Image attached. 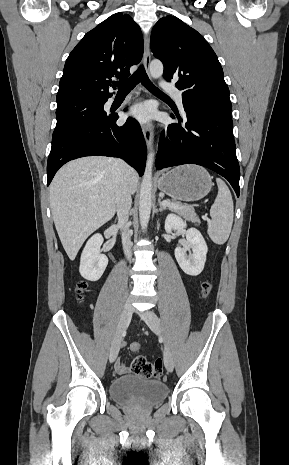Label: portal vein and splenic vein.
Masks as SVG:
<instances>
[{
	"label": "portal vein and splenic vein",
	"mask_w": 289,
	"mask_h": 465,
	"mask_svg": "<svg viewBox=\"0 0 289 465\" xmlns=\"http://www.w3.org/2000/svg\"><path fill=\"white\" fill-rule=\"evenodd\" d=\"M162 204L165 205V206H173V207L179 208L178 205L173 204V203H171V202L168 201V200H163V201H162ZM203 218H204V219H207V218H205V217H203Z\"/></svg>",
	"instance_id": "obj_1"
}]
</instances>
